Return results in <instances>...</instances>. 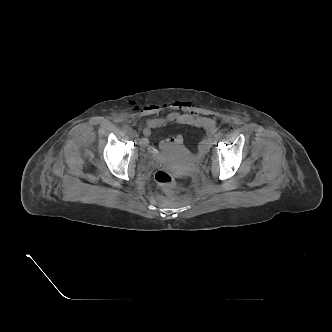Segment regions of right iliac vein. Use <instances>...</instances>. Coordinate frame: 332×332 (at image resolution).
<instances>
[{"mask_svg":"<svg viewBox=\"0 0 332 332\" xmlns=\"http://www.w3.org/2000/svg\"><path fill=\"white\" fill-rule=\"evenodd\" d=\"M130 134H131L132 136H136V132H135L134 130H130Z\"/></svg>","mask_w":332,"mask_h":332,"instance_id":"right-iliac-vein-1","label":"right iliac vein"}]
</instances>
